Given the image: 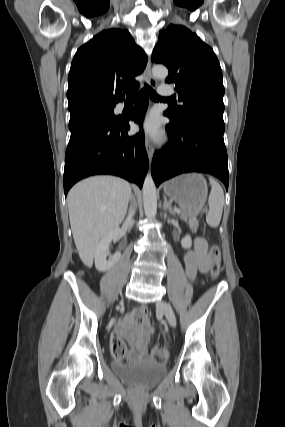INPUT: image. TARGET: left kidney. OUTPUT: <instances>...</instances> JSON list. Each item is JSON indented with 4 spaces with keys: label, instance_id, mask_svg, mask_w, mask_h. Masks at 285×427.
I'll return each instance as SVG.
<instances>
[{
    "label": "left kidney",
    "instance_id": "1",
    "mask_svg": "<svg viewBox=\"0 0 285 427\" xmlns=\"http://www.w3.org/2000/svg\"><path fill=\"white\" fill-rule=\"evenodd\" d=\"M181 246L184 249H189L192 246V239L190 237V235H186L182 240H181Z\"/></svg>",
    "mask_w": 285,
    "mask_h": 427
}]
</instances>
